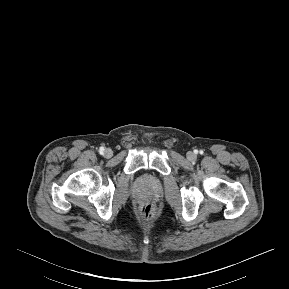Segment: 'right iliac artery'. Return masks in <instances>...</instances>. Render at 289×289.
Masks as SVG:
<instances>
[{"instance_id": "right-iliac-artery-1", "label": "right iliac artery", "mask_w": 289, "mask_h": 289, "mask_svg": "<svg viewBox=\"0 0 289 289\" xmlns=\"http://www.w3.org/2000/svg\"><path fill=\"white\" fill-rule=\"evenodd\" d=\"M103 151H104V148H103V147H101V148L99 149V152L102 154V153H103Z\"/></svg>"}]
</instances>
